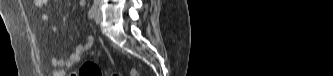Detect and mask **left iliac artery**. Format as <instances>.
Segmentation results:
<instances>
[{
    "instance_id": "obj_1",
    "label": "left iliac artery",
    "mask_w": 333,
    "mask_h": 76,
    "mask_svg": "<svg viewBox=\"0 0 333 76\" xmlns=\"http://www.w3.org/2000/svg\"><path fill=\"white\" fill-rule=\"evenodd\" d=\"M97 6H98V2L95 1L94 4H93V6L90 8V10L88 12V17L89 18H93L94 17L96 9H97Z\"/></svg>"
}]
</instances>
